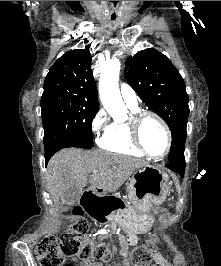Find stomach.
<instances>
[{"instance_id": "0dacf381", "label": "stomach", "mask_w": 221, "mask_h": 266, "mask_svg": "<svg viewBox=\"0 0 221 266\" xmlns=\"http://www.w3.org/2000/svg\"><path fill=\"white\" fill-rule=\"evenodd\" d=\"M168 181V174L160 166L149 164L137 169L127 187L131 207L120 213L119 218L136 230L149 228L153 222L150 211L165 201Z\"/></svg>"}]
</instances>
